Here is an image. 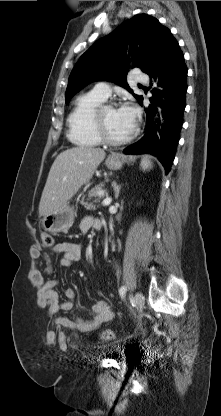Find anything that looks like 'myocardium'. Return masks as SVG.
<instances>
[{
	"mask_svg": "<svg viewBox=\"0 0 221 416\" xmlns=\"http://www.w3.org/2000/svg\"><path fill=\"white\" fill-rule=\"evenodd\" d=\"M108 108H115V106L112 103L103 104V105H100L95 112V118H94L95 130L100 140L103 143L111 145V146H121L130 142L134 137V131L131 132V134L128 137L121 139V140H116L109 135L105 122H104V118H103V113Z\"/></svg>",
	"mask_w": 221,
	"mask_h": 416,
	"instance_id": "myocardium-1",
	"label": "myocardium"
}]
</instances>
